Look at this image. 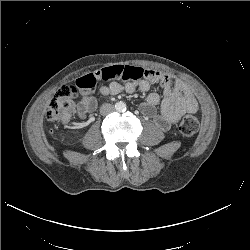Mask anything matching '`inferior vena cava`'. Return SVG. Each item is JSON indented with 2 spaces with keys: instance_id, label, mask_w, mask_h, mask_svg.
I'll use <instances>...</instances> for the list:
<instances>
[{
  "instance_id": "obj_1",
  "label": "inferior vena cava",
  "mask_w": 250,
  "mask_h": 250,
  "mask_svg": "<svg viewBox=\"0 0 250 250\" xmlns=\"http://www.w3.org/2000/svg\"><path fill=\"white\" fill-rule=\"evenodd\" d=\"M114 111V106L111 105V104H108V103H105L103 104L101 107H100V113L102 115H106L108 113H111Z\"/></svg>"
}]
</instances>
